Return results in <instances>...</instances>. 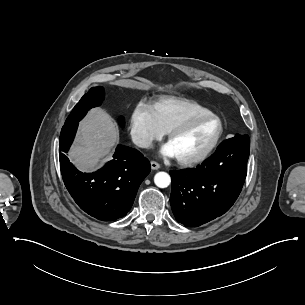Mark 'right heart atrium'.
<instances>
[{"label": "right heart atrium", "mask_w": 305, "mask_h": 305, "mask_svg": "<svg viewBox=\"0 0 305 305\" xmlns=\"http://www.w3.org/2000/svg\"><path fill=\"white\" fill-rule=\"evenodd\" d=\"M132 141L142 149H151L164 135L153 105L139 103L129 119Z\"/></svg>", "instance_id": "1"}]
</instances>
